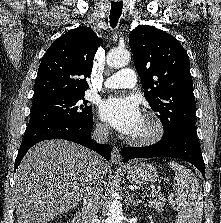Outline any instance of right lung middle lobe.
Masks as SVG:
<instances>
[{"mask_svg": "<svg viewBox=\"0 0 221 223\" xmlns=\"http://www.w3.org/2000/svg\"><path fill=\"white\" fill-rule=\"evenodd\" d=\"M85 93L50 97L33 101L27 127L52 120L84 123L92 120V109L87 106Z\"/></svg>", "mask_w": 221, "mask_h": 223, "instance_id": "obj_1", "label": "right lung middle lobe"}]
</instances>
